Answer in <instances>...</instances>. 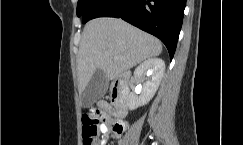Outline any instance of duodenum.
Here are the masks:
<instances>
[{
  "label": "duodenum",
  "mask_w": 243,
  "mask_h": 145,
  "mask_svg": "<svg viewBox=\"0 0 243 145\" xmlns=\"http://www.w3.org/2000/svg\"><path fill=\"white\" fill-rule=\"evenodd\" d=\"M130 74L120 73L111 88V110L115 117L123 118L127 114Z\"/></svg>",
  "instance_id": "410a0bca"
}]
</instances>
